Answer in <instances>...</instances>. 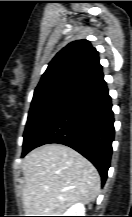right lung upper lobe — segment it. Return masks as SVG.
<instances>
[{"label":"right lung upper lobe","mask_w":132,"mask_h":217,"mask_svg":"<svg viewBox=\"0 0 132 217\" xmlns=\"http://www.w3.org/2000/svg\"><path fill=\"white\" fill-rule=\"evenodd\" d=\"M106 85L98 52L87 40L64 47L49 63L34 95L66 91L77 96Z\"/></svg>","instance_id":"obj_1"}]
</instances>
